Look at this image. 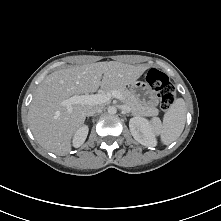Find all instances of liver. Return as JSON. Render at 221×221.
I'll list each match as a JSON object with an SVG mask.
<instances>
[{
  "label": "liver",
  "instance_id": "liver-1",
  "mask_svg": "<svg viewBox=\"0 0 221 221\" xmlns=\"http://www.w3.org/2000/svg\"><path fill=\"white\" fill-rule=\"evenodd\" d=\"M147 69L120 62H97L61 69L38 86L29 106L28 120L37 142L46 150L65 156L71 139L97 105L73 104L72 112L62 102L72 96L96 92L101 86L129 85ZM102 79V80H101Z\"/></svg>",
  "mask_w": 221,
  "mask_h": 221
}]
</instances>
